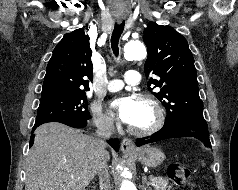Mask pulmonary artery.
Instances as JSON below:
<instances>
[{
  "mask_svg": "<svg viewBox=\"0 0 238 190\" xmlns=\"http://www.w3.org/2000/svg\"><path fill=\"white\" fill-rule=\"evenodd\" d=\"M141 81V75L136 70H129L125 73L124 81L113 79L109 81L107 89L111 92L119 91L123 88L124 84L138 85Z\"/></svg>",
  "mask_w": 238,
  "mask_h": 190,
  "instance_id": "1",
  "label": "pulmonary artery"
}]
</instances>
